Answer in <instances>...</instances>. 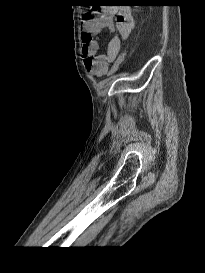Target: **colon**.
I'll return each instance as SVG.
<instances>
[{
    "label": "colon",
    "mask_w": 205,
    "mask_h": 273,
    "mask_svg": "<svg viewBox=\"0 0 205 273\" xmlns=\"http://www.w3.org/2000/svg\"><path fill=\"white\" fill-rule=\"evenodd\" d=\"M124 56H125V52H123V53L119 56V58L115 61V63L113 64V66H112V68H111V72H110L111 75H114V74L117 72V70H118V68H119V66H120V64H121V62H122Z\"/></svg>",
    "instance_id": "5ec220e1"
}]
</instances>
